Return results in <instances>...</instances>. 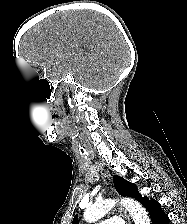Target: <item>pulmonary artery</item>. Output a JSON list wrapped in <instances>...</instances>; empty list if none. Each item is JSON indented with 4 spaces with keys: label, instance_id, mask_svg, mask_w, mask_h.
Here are the masks:
<instances>
[{
    "label": "pulmonary artery",
    "instance_id": "1",
    "mask_svg": "<svg viewBox=\"0 0 187 224\" xmlns=\"http://www.w3.org/2000/svg\"><path fill=\"white\" fill-rule=\"evenodd\" d=\"M98 224H122V222H120L119 220H117L115 218H110V219L102 221V222H100Z\"/></svg>",
    "mask_w": 187,
    "mask_h": 224
}]
</instances>
